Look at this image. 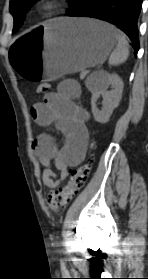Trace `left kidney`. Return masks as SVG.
<instances>
[{
	"label": "left kidney",
	"mask_w": 148,
	"mask_h": 279,
	"mask_svg": "<svg viewBox=\"0 0 148 279\" xmlns=\"http://www.w3.org/2000/svg\"><path fill=\"white\" fill-rule=\"evenodd\" d=\"M111 86L112 90L108 91ZM123 81L117 74L100 73L91 86V105L94 119L99 123H107L114 109L118 107L122 98ZM102 96V108L98 109L96 102Z\"/></svg>",
	"instance_id": "left-kidney-1"
}]
</instances>
